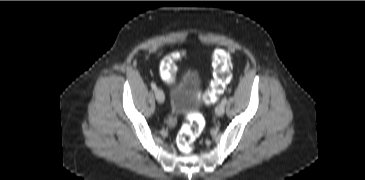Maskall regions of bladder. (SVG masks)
<instances>
[{"label":"bladder","mask_w":365,"mask_h":180,"mask_svg":"<svg viewBox=\"0 0 365 180\" xmlns=\"http://www.w3.org/2000/svg\"><path fill=\"white\" fill-rule=\"evenodd\" d=\"M201 78L192 69L184 70L177 81L170 82L169 107L175 115L199 111L202 99L199 95Z\"/></svg>","instance_id":"1"}]
</instances>
